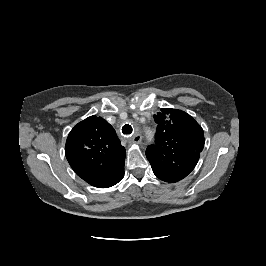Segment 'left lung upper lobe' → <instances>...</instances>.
<instances>
[{
	"label": "left lung upper lobe",
	"instance_id": "left-lung-upper-lobe-1",
	"mask_svg": "<svg viewBox=\"0 0 266 266\" xmlns=\"http://www.w3.org/2000/svg\"><path fill=\"white\" fill-rule=\"evenodd\" d=\"M155 144L146 150L154 174L165 182L185 178L196 166L204 147L202 127L186 112L161 109Z\"/></svg>",
	"mask_w": 266,
	"mask_h": 266
}]
</instances>
